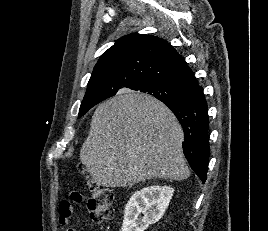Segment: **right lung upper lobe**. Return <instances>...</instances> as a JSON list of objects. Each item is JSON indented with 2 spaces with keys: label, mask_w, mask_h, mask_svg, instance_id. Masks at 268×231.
<instances>
[{
  "label": "right lung upper lobe",
  "mask_w": 268,
  "mask_h": 231,
  "mask_svg": "<svg viewBox=\"0 0 268 231\" xmlns=\"http://www.w3.org/2000/svg\"><path fill=\"white\" fill-rule=\"evenodd\" d=\"M159 81L192 92L197 81L183 57L164 39L129 34L102 54L82 103L97 104L142 81ZM168 102V101H165Z\"/></svg>",
  "instance_id": "obj_1"
}]
</instances>
